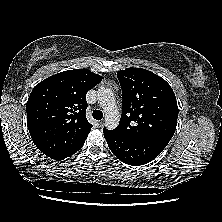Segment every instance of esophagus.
<instances>
[{
  "label": "esophagus",
  "mask_w": 222,
  "mask_h": 222,
  "mask_svg": "<svg viewBox=\"0 0 222 222\" xmlns=\"http://www.w3.org/2000/svg\"><path fill=\"white\" fill-rule=\"evenodd\" d=\"M103 124H104V121H103V120L98 121V125H99V126H103Z\"/></svg>",
  "instance_id": "esophagus-1"
}]
</instances>
